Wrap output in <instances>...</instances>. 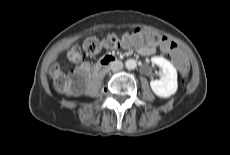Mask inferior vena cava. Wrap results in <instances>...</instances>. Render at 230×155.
I'll use <instances>...</instances> for the list:
<instances>
[{
    "instance_id": "obj_1",
    "label": "inferior vena cava",
    "mask_w": 230,
    "mask_h": 155,
    "mask_svg": "<svg viewBox=\"0 0 230 155\" xmlns=\"http://www.w3.org/2000/svg\"><path fill=\"white\" fill-rule=\"evenodd\" d=\"M123 68V64L121 61L115 60L113 62L110 63L109 65V69L112 71H119Z\"/></svg>"
}]
</instances>
